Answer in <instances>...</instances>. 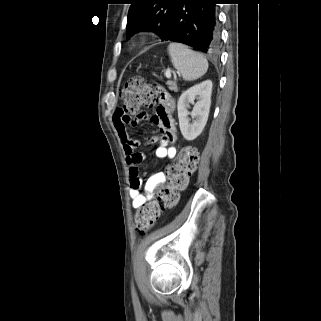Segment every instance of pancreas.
Segmentation results:
<instances>
[{"instance_id":"1","label":"pancreas","mask_w":321,"mask_h":321,"mask_svg":"<svg viewBox=\"0 0 321 321\" xmlns=\"http://www.w3.org/2000/svg\"><path fill=\"white\" fill-rule=\"evenodd\" d=\"M167 85L169 86V89L171 91L177 92L178 91V87L175 81H168Z\"/></svg>"}]
</instances>
